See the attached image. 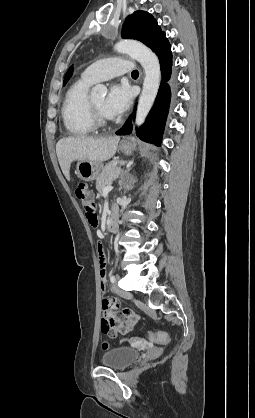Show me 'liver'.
Wrapping results in <instances>:
<instances>
[{
    "label": "liver",
    "mask_w": 255,
    "mask_h": 418,
    "mask_svg": "<svg viewBox=\"0 0 255 418\" xmlns=\"http://www.w3.org/2000/svg\"><path fill=\"white\" fill-rule=\"evenodd\" d=\"M120 137L107 138L66 137L56 144V153L61 170L70 180V167L73 161L103 162L112 158L117 150Z\"/></svg>",
    "instance_id": "obj_1"
}]
</instances>
